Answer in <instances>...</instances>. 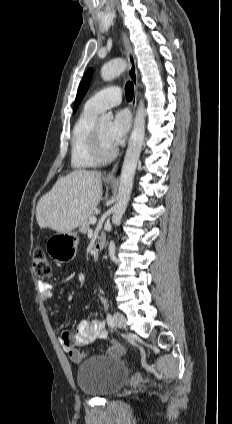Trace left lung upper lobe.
I'll return each instance as SVG.
<instances>
[{
  "instance_id": "5c2ea615",
  "label": "left lung upper lobe",
  "mask_w": 232,
  "mask_h": 424,
  "mask_svg": "<svg viewBox=\"0 0 232 424\" xmlns=\"http://www.w3.org/2000/svg\"><path fill=\"white\" fill-rule=\"evenodd\" d=\"M92 74H93V70L92 68H90L84 75L78 91H77V96L75 99V104H74V112H76L79 103L81 102V100L83 99L84 95L86 94L88 87L90 85L91 79H92Z\"/></svg>"
}]
</instances>
